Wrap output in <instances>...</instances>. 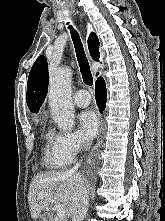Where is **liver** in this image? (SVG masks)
<instances>
[{
	"instance_id": "obj_1",
	"label": "liver",
	"mask_w": 165,
	"mask_h": 221,
	"mask_svg": "<svg viewBox=\"0 0 165 221\" xmlns=\"http://www.w3.org/2000/svg\"><path fill=\"white\" fill-rule=\"evenodd\" d=\"M75 190V180L66 172H45L35 176L29 186L28 203L31 217L36 220L41 212H45L50 204L63 206L71 215V203ZM41 192H47L49 197L39 199Z\"/></svg>"
}]
</instances>
